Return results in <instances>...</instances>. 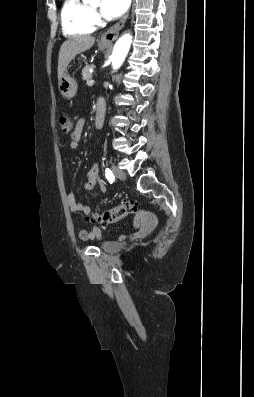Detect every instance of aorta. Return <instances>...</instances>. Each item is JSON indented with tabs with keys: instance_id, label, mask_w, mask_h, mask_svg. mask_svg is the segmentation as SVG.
<instances>
[{
	"instance_id": "obj_1",
	"label": "aorta",
	"mask_w": 254,
	"mask_h": 397,
	"mask_svg": "<svg viewBox=\"0 0 254 397\" xmlns=\"http://www.w3.org/2000/svg\"><path fill=\"white\" fill-rule=\"evenodd\" d=\"M85 1L91 3V2H96L98 0H85ZM131 43H132V36L130 34H125L118 39V41L114 46L113 53L111 56L113 69H118L122 65L130 49Z\"/></svg>"
}]
</instances>
